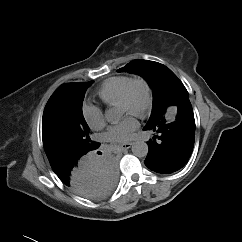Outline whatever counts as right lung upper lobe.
<instances>
[{"mask_svg": "<svg viewBox=\"0 0 242 242\" xmlns=\"http://www.w3.org/2000/svg\"><path fill=\"white\" fill-rule=\"evenodd\" d=\"M80 86V83H67L62 85L61 87H59L54 93L53 95L50 97L51 99L56 98L58 96L67 94L72 92L73 90H75L76 88H78Z\"/></svg>", "mask_w": 242, "mask_h": 242, "instance_id": "right-lung-upper-lobe-1", "label": "right lung upper lobe"}]
</instances>
